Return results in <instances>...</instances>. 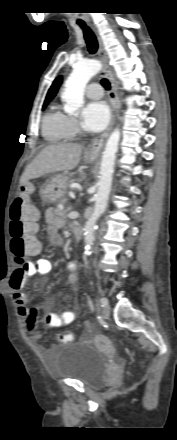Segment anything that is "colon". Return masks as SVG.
<instances>
[{"label": "colon", "instance_id": "5ec220e1", "mask_svg": "<svg viewBox=\"0 0 177 440\" xmlns=\"http://www.w3.org/2000/svg\"><path fill=\"white\" fill-rule=\"evenodd\" d=\"M32 188L25 185L20 194L14 199L10 208V236L11 251L19 265L26 264L28 256L38 251V240L36 238L37 221L39 213L30 202ZM36 323V312H30L27 320L28 329L33 331ZM36 339L42 342L45 339L43 334H38ZM59 339L63 344L72 341V334L62 332Z\"/></svg>", "mask_w": 177, "mask_h": 440}]
</instances>
